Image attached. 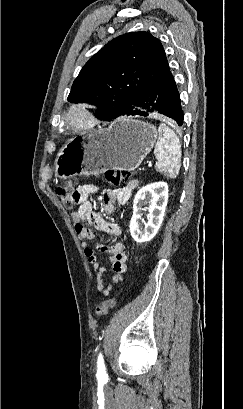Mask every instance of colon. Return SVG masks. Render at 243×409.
Listing matches in <instances>:
<instances>
[{"label": "colon", "instance_id": "5ec220e1", "mask_svg": "<svg viewBox=\"0 0 243 409\" xmlns=\"http://www.w3.org/2000/svg\"><path fill=\"white\" fill-rule=\"evenodd\" d=\"M132 172L125 169H113L106 172V180L109 184L117 185L120 182L127 181L131 178ZM56 195L62 202V204L72 209L79 204V197L76 190L68 182H64L56 188ZM116 298H109L104 300L100 305L96 307V316L102 318L107 315L110 309L115 307Z\"/></svg>", "mask_w": 243, "mask_h": 409}]
</instances>
